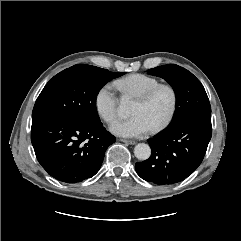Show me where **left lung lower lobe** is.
<instances>
[{
	"label": "left lung lower lobe",
	"instance_id": "left-lung-lower-lobe-1",
	"mask_svg": "<svg viewBox=\"0 0 241 241\" xmlns=\"http://www.w3.org/2000/svg\"><path fill=\"white\" fill-rule=\"evenodd\" d=\"M211 136V113L166 128L148 140L151 156L136 163V172L142 179L158 185L183 181L201 164Z\"/></svg>",
	"mask_w": 241,
	"mask_h": 241
}]
</instances>
